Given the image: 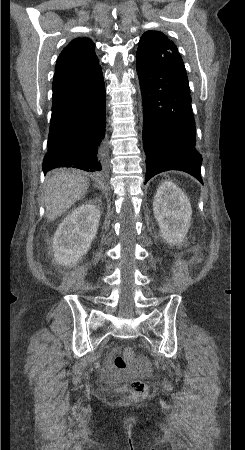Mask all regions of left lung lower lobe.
I'll return each mask as SVG.
<instances>
[{
    "label": "left lung lower lobe",
    "instance_id": "obj_1",
    "mask_svg": "<svg viewBox=\"0 0 245 450\" xmlns=\"http://www.w3.org/2000/svg\"><path fill=\"white\" fill-rule=\"evenodd\" d=\"M136 65L143 100L145 184L168 170L187 172L203 184L190 90L165 69Z\"/></svg>",
    "mask_w": 245,
    "mask_h": 450
}]
</instances>
